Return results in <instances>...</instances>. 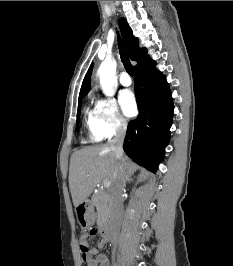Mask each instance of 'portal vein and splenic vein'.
Segmentation results:
<instances>
[{
    "label": "portal vein and splenic vein",
    "instance_id": "1",
    "mask_svg": "<svg viewBox=\"0 0 233 266\" xmlns=\"http://www.w3.org/2000/svg\"><path fill=\"white\" fill-rule=\"evenodd\" d=\"M103 185H104V187H109L111 185V181L109 179H105L103 181Z\"/></svg>",
    "mask_w": 233,
    "mask_h": 266
}]
</instances>
